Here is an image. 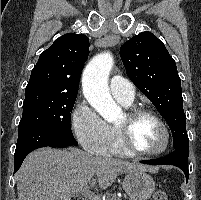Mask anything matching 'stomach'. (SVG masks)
I'll list each match as a JSON object with an SVG mask.
<instances>
[{
    "label": "stomach",
    "instance_id": "obj_1",
    "mask_svg": "<svg viewBox=\"0 0 201 200\" xmlns=\"http://www.w3.org/2000/svg\"><path fill=\"white\" fill-rule=\"evenodd\" d=\"M122 186L131 200H148L155 191L153 178L144 171L127 173Z\"/></svg>",
    "mask_w": 201,
    "mask_h": 200
}]
</instances>
